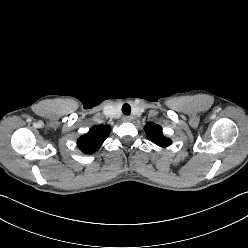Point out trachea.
Returning <instances> with one entry per match:
<instances>
[{
  "instance_id": "obj_1",
  "label": "trachea",
  "mask_w": 248,
  "mask_h": 248,
  "mask_svg": "<svg viewBox=\"0 0 248 248\" xmlns=\"http://www.w3.org/2000/svg\"><path fill=\"white\" fill-rule=\"evenodd\" d=\"M122 112L125 115H129L131 113V107H130V105L129 104H124L122 106Z\"/></svg>"
}]
</instances>
